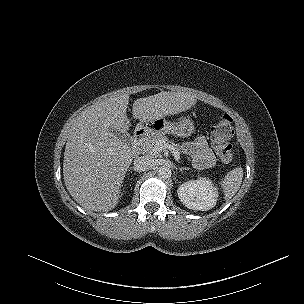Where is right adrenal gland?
I'll list each match as a JSON object with an SVG mask.
<instances>
[{
    "label": "right adrenal gland",
    "mask_w": 304,
    "mask_h": 304,
    "mask_svg": "<svg viewBox=\"0 0 304 304\" xmlns=\"http://www.w3.org/2000/svg\"><path fill=\"white\" fill-rule=\"evenodd\" d=\"M131 170H135L134 167H131ZM129 171H130V169H129ZM135 171H136V170H135Z\"/></svg>",
    "instance_id": "1"
}]
</instances>
